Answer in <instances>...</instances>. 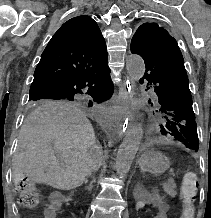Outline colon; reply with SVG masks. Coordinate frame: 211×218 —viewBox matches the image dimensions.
Masks as SVG:
<instances>
[{"label": "colon", "instance_id": "obj_1", "mask_svg": "<svg viewBox=\"0 0 211 218\" xmlns=\"http://www.w3.org/2000/svg\"><path fill=\"white\" fill-rule=\"evenodd\" d=\"M16 189L20 194L19 204L28 209H33L40 202V192L31 181V179L23 172L17 173ZM198 180L193 172H187L184 175L181 187V199L183 202V213L181 218H193L194 199L197 194Z\"/></svg>", "mask_w": 211, "mask_h": 218}]
</instances>
